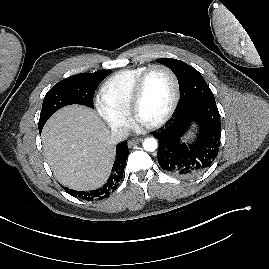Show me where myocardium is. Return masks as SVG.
<instances>
[{
  "label": "myocardium",
  "mask_w": 269,
  "mask_h": 269,
  "mask_svg": "<svg viewBox=\"0 0 269 269\" xmlns=\"http://www.w3.org/2000/svg\"><path fill=\"white\" fill-rule=\"evenodd\" d=\"M157 69L164 70L172 78V81L174 84V96L168 110L160 119L149 124H144L138 118V108H139V104L142 98L145 82L149 74L152 71L157 70ZM180 97H181V85H180V81L177 74L170 67L166 65L154 64V65L149 66L137 79L133 92H132L131 100H130L129 112L132 115L133 119L137 123L141 124L143 127L148 128V129H156L163 126L170 120V118L173 116L174 112L176 111V108L180 101Z\"/></svg>",
  "instance_id": "1"
}]
</instances>
